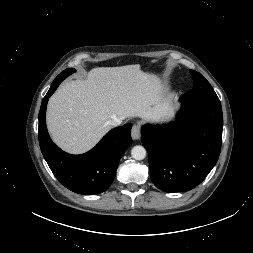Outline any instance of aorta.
I'll return each instance as SVG.
<instances>
[{"label":"aorta","mask_w":253,"mask_h":253,"mask_svg":"<svg viewBox=\"0 0 253 253\" xmlns=\"http://www.w3.org/2000/svg\"><path fill=\"white\" fill-rule=\"evenodd\" d=\"M131 156L135 160H143L146 157V149L143 146H134L131 150Z\"/></svg>","instance_id":"1"}]
</instances>
